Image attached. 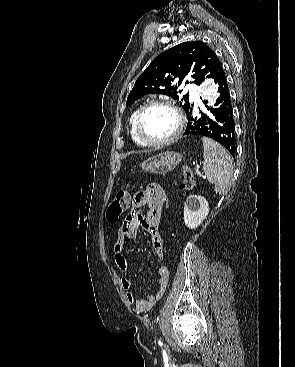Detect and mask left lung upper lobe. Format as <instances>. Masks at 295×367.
I'll return each mask as SVG.
<instances>
[{"label":"left lung upper lobe","instance_id":"left-lung-upper-lobe-1","mask_svg":"<svg viewBox=\"0 0 295 367\" xmlns=\"http://www.w3.org/2000/svg\"><path fill=\"white\" fill-rule=\"evenodd\" d=\"M219 62L216 54L202 41L181 43L159 54L136 80L127 105L147 94H164L178 100L185 112L190 108L189 95L179 96L182 84L200 85ZM181 92V91H179Z\"/></svg>","mask_w":295,"mask_h":367}]
</instances>
